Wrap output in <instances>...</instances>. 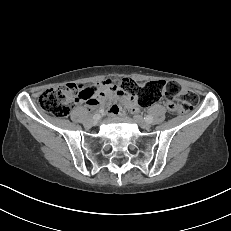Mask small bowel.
Instances as JSON below:
<instances>
[{
  "label": "small bowel",
  "instance_id": "c3829d8e",
  "mask_svg": "<svg viewBox=\"0 0 231 231\" xmlns=\"http://www.w3.org/2000/svg\"><path fill=\"white\" fill-rule=\"evenodd\" d=\"M81 90L85 92V96L78 101L86 103L91 107H100L104 103L109 102L111 99L117 98L122 104L132 110L138 111L139 109L135 97L114 89L112 79H106L94 85L82 86ZM118 111V105H111L109 107L110 113H117Z\"/></svg>",
  "mask_w": 231,
  "mask_h": 231
}]
</instances>
